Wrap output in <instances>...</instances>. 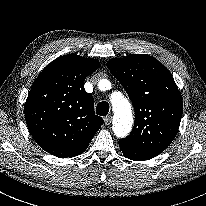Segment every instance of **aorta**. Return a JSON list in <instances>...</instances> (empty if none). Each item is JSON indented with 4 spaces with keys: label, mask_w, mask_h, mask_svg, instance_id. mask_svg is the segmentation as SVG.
<instances>
[{
    "label": "aorta",
    "mask_w": 206,
    "mask_h": 206,
    "mask_svg": "<svg viewBox=\"0 0 206 206\" xmlns=\"http://www.w3.org/2000/svg\"><path fill=\"white\" fill-rule=\"evenodd\" d=\"M111 104L114 111L113 131L119 138L126 137L133 125L131 105L125 97L116 94L112 95Z\"/></svg>",
    "instance_id": "1"
}]
</instances>
